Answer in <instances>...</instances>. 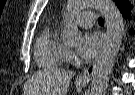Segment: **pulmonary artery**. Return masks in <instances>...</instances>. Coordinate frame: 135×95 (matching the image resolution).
<instances>
[{
	"label": "pulmonary artery",
	"instance_id": "pulmonary-artery-1",
	"mask_svg": "<svg viewBox=\"0 0 135 95\" xmlns=\"http://www.w3.org/2000/svg\"><path fill=\"white\" fill-rule=\"evenodd\" d=\"M95 16L93 12L84 11L77 15L76 20L83 26H90L94 22Z\"/></svg>",
	"mask_w": 135,
	"mask_h": 95
}]
</instances>
